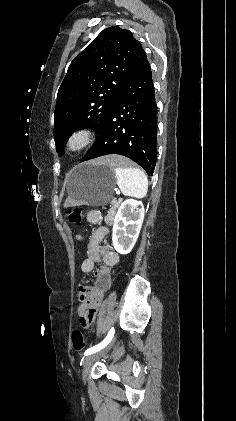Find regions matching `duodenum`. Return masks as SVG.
Segmentation results:
<instances>
[{
  "mask_svg": "<svg viewBox=\"0 0 236 421\" xmlns=\"http://www.w3.org/2000/svg\"><path fill=\"white\" fill-rule=\"evenodd\" d=\"M101 258L104 262V267L97 271V285L94 289L88 290L83 300V316L86 317L88 313L94 315L101 304L102 297L111 282V268L118 262V254L109 249H104L101 253ZM96 257L92 256L91 260L94 261Z\"/></svg>",
  "mask_w": 236,
  "mask_h": 421,
  "instance_id": "obj_1",
  "label": "duodenum"
}]
</instances>
